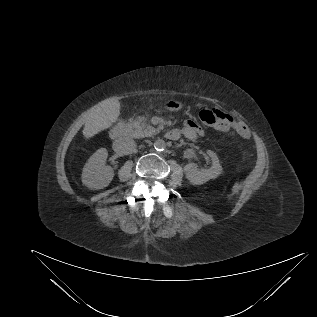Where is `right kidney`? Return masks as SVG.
Here are the masks:
<instances>
[{"label":"right kidney","instance_id":"1","mask_svg":"<svg viewBox=\"0 0 317 317\" xmlns=\"http://www.w3.org/2000/svg\"><path fill=\"white\" fill-rule=\"evenodd\" d=\"M108 152L98 149L87 161L82 172V183L90 189L107 187L114 177L112 167L105 166Z\"/></svg>","mask_w":317,"mask_h":317}]
</instances>
